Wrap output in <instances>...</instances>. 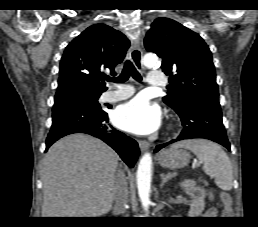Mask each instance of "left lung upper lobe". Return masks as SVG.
<instances>
[{
	"mask_svg": "<svg viewBox=\"0 0 258 227\" xmlns=\"http://www.w3.org/2000/svg\"><path fill=\"white\" fill-rule=\"evenodd\" d=\"M145 47L163 59L161 68L172 81L163 101L176 112L198 101L219 102L211 52L197 33L175 20L157 18Z\"/></svg>",
	"mask_w": 258,
	"mask_h": 227,
	"instance_id": "obj_1",
	"label": "left lung upper lobe"
}]
</instances>
